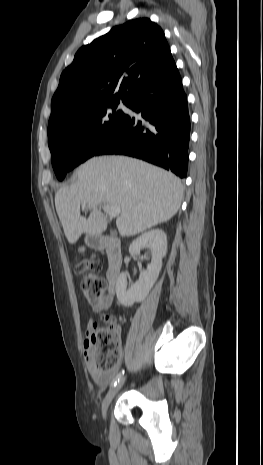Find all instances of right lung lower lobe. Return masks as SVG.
<instances>
[{"label": "right lung lower lobe", "mask_w": 263, "mask_h": 465, "mask_svg": "<svg viewBox=\"0 0 263 465\" xmlns=\"http://www.w3.org/2000/svg\"><path fill=\"white\" fill-rule=\"evenodd\" d=\"M126 106L140 117L125 115L96 155H129L186 177L190 116L177 67L134 92Z\"/></svg>", "instance_id": "right-lung-lower-lobe-1"}]
</instances>
